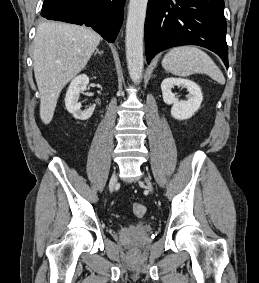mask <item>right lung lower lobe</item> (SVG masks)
I'll use <instances>...</instances> for the list:
<instances>
[{"instance_id":"1","label":"right lung lower lobe","mask_w":259,"mask_h":283,"mask_svg":"<svg viewBox=\"0 0 259 283\" xmlns=\"http://www.w3.org/2000/svg\"><path fill=\"white\" fill-rule=\"evenodd\" d=\"M125 0H44L41 15L78 25L85 24L113 42L123 21Z\"/></svg>"}]
</instances>
